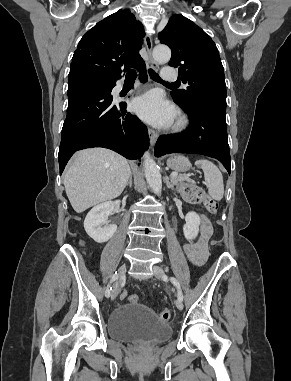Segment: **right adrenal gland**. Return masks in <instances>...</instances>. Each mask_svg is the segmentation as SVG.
Returning <instances> with one entry per match:
<instances>
[{"label":"right adrenal gland","instance_id":"2a0ac1e0","mask_svg":"<svg viewBox=\"0 0 291 381\" xmlns=\"http://www.w3.org/2000/svg\"><path fill=\"white\" fill-rule=\"evenodd\" d=\"M129 187H132V173H130L129 181L127 183Z\"/></svg>","mask_w":291,"mask_h":381}]
</instances>
